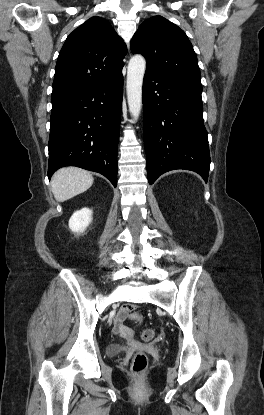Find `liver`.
<instances>
[{"label": "liver", "mask_w": 264, "mask_h": 415, "mask_svg": "<svg viewBox=\"0 0 264 415\" xmlns=\"http://www.w3.org/2000/svg\"><path fill=\"white\" fill-rule=\"evenodd\" d=\"M92 174L77 167L61 168L51 179V188L55 199L64 202L85 192L93 184Z\"/></svg>", "instance_id": "6515ba94"}]
</instances>
